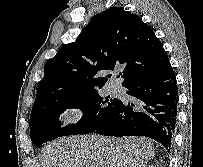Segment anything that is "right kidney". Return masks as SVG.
<instances>
[{
  "instance_id": "right-kidney-1",
  "label": "right kidney",
  "mask_w": 203,
  "mask_h": 167,
  "mask_svg": "<svg viewBox=\"0 0 203 167\" xmlns=\"http://www.w3.org/2000/svg\"><path fill=\"white\" fill-rule=\"evenodd\" d=\"M143 167H155V166H153V165L150 166V165H149V166H143Z\"/></svg>"
}]
</instances>
